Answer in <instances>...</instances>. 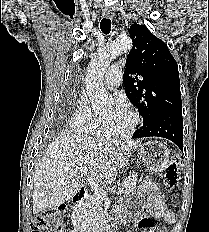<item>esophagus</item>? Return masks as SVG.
<instances>
[{"label":"esophagus","instance_id":"obj_1","mask_svg":"<svg viewBox=\"0 0 209 232\" xmlns=\"http://www.w3.org/2000/svg\"><path fill=\"white\" fill-rule=\"evenodd\" d=\"M103 16L106 18H113L114 13L111 10L105 9L103 10Z\"/></svg>","mask_w":209,"mask_h":232}]
</instances>
